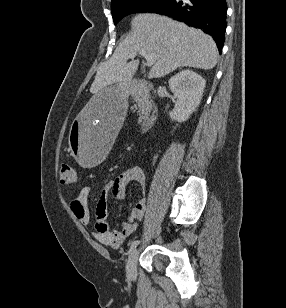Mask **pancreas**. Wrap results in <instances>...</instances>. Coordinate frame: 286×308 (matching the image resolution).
<instances>
[{
	"mask_svg": "<svg viewBox=\"0 0 286 308\" xmlns=\"http://www.w3.org/2000/svg\"><path fill=\"white\" fill-rule=\"evenodd\" d=\"M130 94L135 100V102L138 104L139 107L138 121L141 122L146 117L152 106L150 93L148 90L139 87H132L130 88Z\"/></svg>",
	"mask_w": 286,
	"mask_h": 308,
	"instance_id": "obj_1",
	"label": "pancreas"
}]
</instances>
